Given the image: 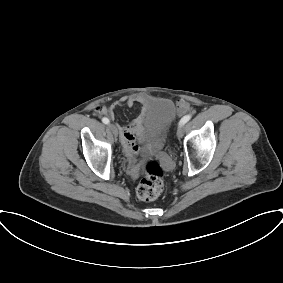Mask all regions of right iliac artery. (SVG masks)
I'll list each match as a JSON object with an SVG mask.
<instances>
[{
    "mask_svg": "<svg viewBox=\"0 0 283 283\" xmlns=\"http://www.w3.org/2000/svg\"><path fill=\"white\" fill-rule=\"evenodd\" d=\"M102 122H103L104 124H109L110 121H109L108 118H105V117H104V118L102 119Z\"/></svg>",
    "mask_w": 283,
    "mask_h": 283,
    "instance_id": "right-iliac-artery-1",
    "label": "right iliac artery"
}]
</instances>
